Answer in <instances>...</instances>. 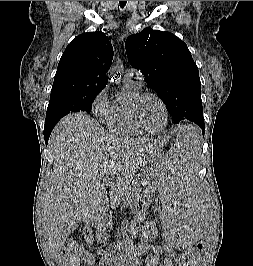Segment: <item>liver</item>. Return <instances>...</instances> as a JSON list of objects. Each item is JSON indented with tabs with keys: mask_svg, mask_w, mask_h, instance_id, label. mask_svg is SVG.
<instances>
[{
	"mask_svg": "<svg viewBox=\"0 0 253 266\" xmlns=\"http://www.w3.org/2000/svg\"><path fill=\"white\" fill-rule=\"evenodd\" d=\"M167 139L118 137L87 114L62 118L49 138L53 170L43 195V228L58 257L68 235L84 223L98 224L119 207L145 159ZM103 180H108L109 197Z\"/></svg>",
	"mask_w": 253,
	"mask_h": 266,
	"instance_id": "6515ba94",
	"label": "liver"
}]
</instances>
